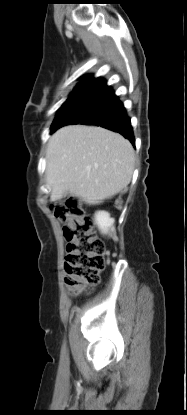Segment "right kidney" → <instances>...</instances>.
Listing matches in <instances>:
<instances>
[{"label":"right kidney","instance_id":"ca27d5eb","mask_svg":"<svg viewBox=\"0 0 187 415\" xmlns=\"http://www.w3.org/2000/svg\"><path fill=\"white\" fill-rule=\"evenodd\" d=\"M95 223L98 226L99 230L103 234L109 233V230L113 231L114 219L110 218V214L105 211H98L95 214Z\"/></svg>","mask_w":187,"mask_h":415}]
</instances>
